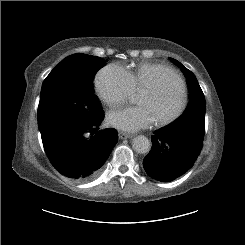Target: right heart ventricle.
Returning a JSON list of instances; mask_svg holds the SVG:
<instances>
[{
    "instance_id": "e07e8e85",
    "label": "right heart ventricle",
    "mask_w": 245,
    "mask_h": 245,
    "mask_svg": "<svg viewBox=\"0 0 245 245\" xmlns=\"http://www.w3.org/2000/svg\"><path fill=\"white\" fill-rule=\"evenodd\" d=\"M166 66L154 63H142L127 73L133 85V90L142 92L148 86L157 82L160 74L167 70Z\"/></svg>"
}]
</instances>
